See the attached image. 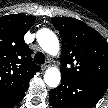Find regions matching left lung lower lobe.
<instances>
[{
  "mask_svg": "<svg viewBox=\"0 0 108 108\" xmlns=\"http://www.w3.org/2000/svg\"><path fill=\"white\" fill-rule=\"evenodd\" d=\"M108 85L73 77H62L61 84L49 93L53 108H92Z\"/></svg>",
  "mask_w": 108,
  "mask_h": 108,
  "instance_id": "left-lung-lower-lobe-1",
  "label": "left lung lower lobe"
}]
</instances>
